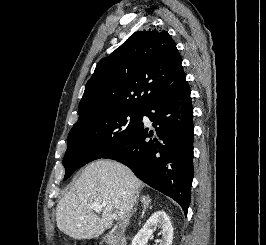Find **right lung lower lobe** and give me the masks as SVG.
<instances>
[{"instance_id": "right-lung-lower-lobe-1", "label": "right lung lower lobe", "mask_w": 266, "mask_h": 245, "mask_svg": "<svg viewBox=\"0 0 266 245\" xmlns=\"http://www.w3.org/2000/svg\"><path fill=\"white\" fill-rule=\"evenodd\" d=\"M144 115L153 122L155 132H149L141 122L124 146L103 158L128 166L143 182L177 201L187 214L193 179L194 136L187 81L160 95L145 109Z\"/></svg>"}]
</instances>
